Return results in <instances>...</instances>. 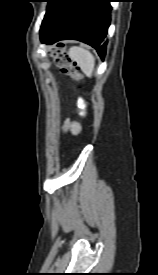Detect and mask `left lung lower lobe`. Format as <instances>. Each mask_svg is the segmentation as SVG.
Here are the masks:
<instances>
[{
  "mask_svg": "<svg viewBox=\"0 0 158 275\" xmlns=\"http://www.w3.org/2000/svg\"><path fill=\"white\" fill-rule=\"evenodd\" d=\"M110 2L111 0H48L40 30L42 43L79 40L94 47L99 56L104 58L107 44L105 37L111 21Z\"/></svg>",
  "mask_w": 158,
  "mask_h": 275,
  "instance_id": "obj_1",
  "label": "left lung lower lobe"
}]
</instances>
